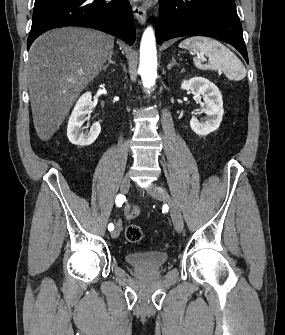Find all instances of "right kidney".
Listing matches in <instances>:
<instances>
[{
  "instance_id": "1",
  "label": "right kidney",
  "mask_w": 285,
  "mask_h": 335,
  "mask_svg": "<svg viewBox=\"0 0 285 335\" xmlns=\"http://www.w3.org/2000/svg\"><path fill=\"white\" fill-rule=\"evenodd\" d=\"M92 96L91 92H86L83 96H80L78 102L75 104V108L69 118L68 128H67V136L69 142L71 144H75V146H79V148H85V146H90L95 142L96 138H98L101 132V126L99 122H94L92 124L89 132H85L83 134L82 126L86 120H90V106ZM86 114H88L86 118Z\"/></svg>"
}]
</instances>
